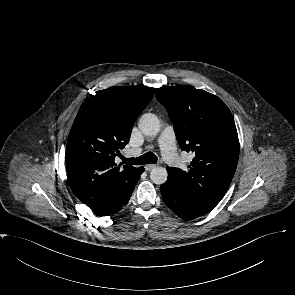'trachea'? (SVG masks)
Wrapping results in <instances>:
<instances>
[{
	"label": "trachea",
	"instance_id": "trachea-1",
	"mask_svg": "<svg viewBox=\"0 0 295 295\" xmlns=\"http://www.w3.org/2000/svg\"><path fill=\"white\" fill-rule=\"evenodd\" d=\"M122 161L124 163L134 164V165H144V164H156L157 156L152 152H147L140 157L137 158H125L122 157Z\"/></svg>",
	"mask_w": 295,
	"mask_h": 295
}]
</instances>
